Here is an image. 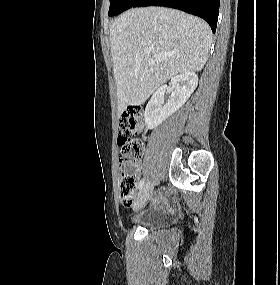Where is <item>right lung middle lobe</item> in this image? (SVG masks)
<instances>
[{"label": "right lung middle lobe", "instance_id": "right-lung-middle-lobe-1", "mask_svg": "<svg viewBox=\"0 0 280 285\" xmlns=\"http://www.w3.org/2000/svg\"><path fill=\"white\" fill-rule=\"evenodd\" d=\"M138 0H110L109 16L117 15L131 7Z\"/></svg>", "mask_w": 280, "mask_h": 285}]
</instances>
